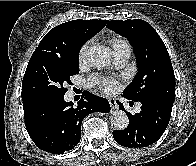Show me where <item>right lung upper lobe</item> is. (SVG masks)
Masks as SVG:
<instances>
[{
	"label": "right lung upper lobe",
	"instance_id": "1",
	"mask_svg": "<svg viewBox=\"0 0 196 166\" xmlns=\"http://www.w3.org/2000/svg\"><path fill=\"white\" fill-rule=\"evenodd\" d=\"M108 20H73L54 27L41 40L36 51L60 57L79 54L81 46L102 30Z\"/></svg>",
	"mask_w": 196,
	"mask_h": 166
}]
</instances>
